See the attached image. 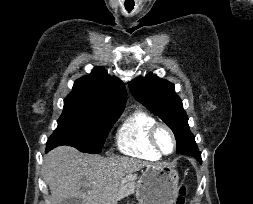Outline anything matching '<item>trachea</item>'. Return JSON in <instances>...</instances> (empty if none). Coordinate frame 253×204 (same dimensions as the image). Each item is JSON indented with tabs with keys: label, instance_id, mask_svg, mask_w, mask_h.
I'll return each mask as SVG.
<instances>
[{
	"label": "trachea",
	"instance_id": "trachea-1",
	"mask_svg": "<svg viewBox=\"0 0 253 204\" xmlns=\"http://www.w3.org/2000/svg\"><path fill=\"white\" fill-rule=\"evenodd\" d=\"M125 8L128 12H131L134 8V5H125Z\"/></svg>",
	"mask_w": 253,
	"mask_h": 204
}]
</instances>
